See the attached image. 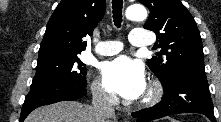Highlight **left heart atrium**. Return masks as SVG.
Wrapping results in <instances>:
<instances>
[{
    "mask_svg": "<svg viewBox=\"0 0 221 122\" xmlns=\"http://www.w3.org/2000/svg\"><path fill=\"white\" fill-rule=\"evenodd\" d=\"M101 74L105 88L125 99H137L145 92L144 68L141 63L127 56L104 62Z\"/></svg>",
    "mask_w": 221,
    "mask_h": 122,
    "instance_id": "obj_1",
    "label": "left heart atrium"
}]
</instances>
